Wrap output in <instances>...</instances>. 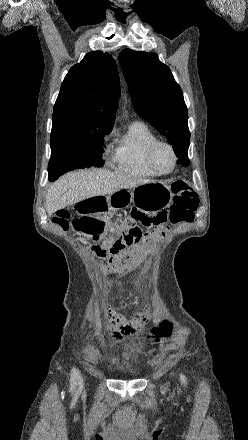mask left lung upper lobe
<instances>
[{"mask_svg":"<svg viewBox=\"0 0 248 440\" xmlns=\"http://www.w3.org/2000/svg\"><path fill=\"white\" fill-rule=\"evenodd\" d=\"M119 62L135 111L173 146L177 163H189L190 132L182 90L154 53L124 49Z\"/></svg>","mask_w":248,"mask_h":440,"instance_id":"obj_1","label":"left lung upper lobe"}]
</instances>
